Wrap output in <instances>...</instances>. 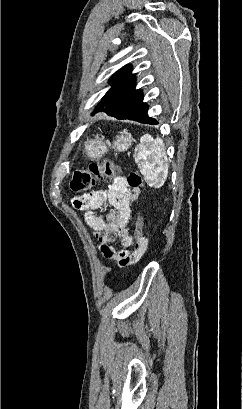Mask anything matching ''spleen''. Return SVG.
<instances>
[{
	"mask_svg": "<svg viewBox=\"0 0 243 409\" xmlns=\"http://www.w3.org/2000/svg\"><path fill=\"white\" fill-rule=\"evenodd\" d=\"M133 157L148 186L153 188L163 186L167 179L169 166L165 160L161 138L157 136L156 139H153L149 134L143 135L140 138V144L135 148Z\"/></svg>",
	"mask_w": 243,
	"mask_h": 409,
	"instance_id": "1",
	"label": "spleen"
}]
</instances>
